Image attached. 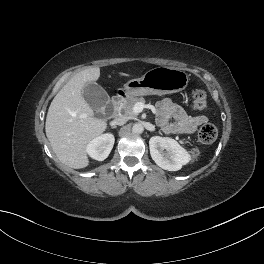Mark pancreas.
Masks as SVG:
<instances>
[{"mask_svg": "<svg viewBox=\"0 0 264 264\" xmlns=\"http://www.w3.org/2000/svg\"><path fill=\"white\" fill-rule=\"evenodd\" d=\"M138 102L144 104L145 99L143 97H140V98L131 97V98L124 99L120 102L119 108L125 117L133 118L136 115V113L133 112V107Z\"/></svg>", "mask_w": 264, "mask_h": 264, "instance_id": "pancreas-1", "label": "pancreas"}]
</instances>
